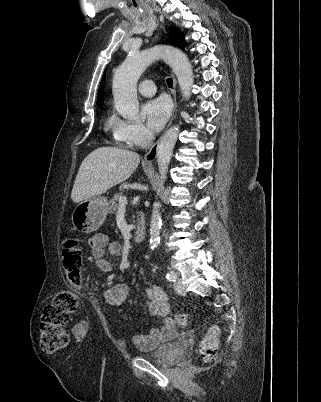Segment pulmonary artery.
Listing matches in <instances>:
<instances>
[{"instance_id":"pulmonary-artery-1","label":"pulmonary artery","mask_w":321,"mask_h":402,"mask_svg":"<svg viewBox=\"0 0 321 402\" xmlns=\"http://www.w3.org/2000/svg\"><path fill=\"white\" fill-rule=\"evenodd\" d=\"M138 91L143 96H152L156 93V86L153 81H141L138 85Z\"/></svg>"}]
</instances>
